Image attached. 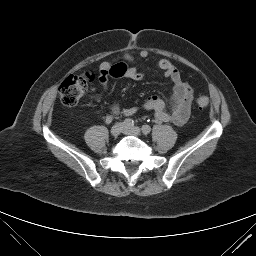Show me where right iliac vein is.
Instances as JSON below:
<instances>
[{"mask_svg": "<svg viewBox=\"0 0 256 256\" xmlns=\"http://www.w3.org/2000/svg\"><path fill=\"white\" fill-rule=\"evenodd\" d=\"M124 128L123 123H117L111 128L110 132L114 137H117L123 132Z\"/></svg>", "mask_w": 256, "mask_h": 256, "instance_id": "63e3f726", "label": "right iliac vein"}]
</instances>
